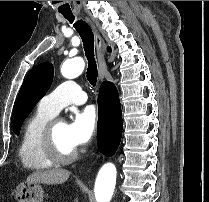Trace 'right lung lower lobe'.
I'll use <instances>...</instances> for the list:
<instances>
[{
  "mask_svg": "<svg viewBox=\"0 0 209 202\" xmlns=\"http://www.w3.org/2000/svg\"><path fill=\"white\" fill-rule=\"evenodd\" d=\"M122 137V112L118 91L111 82H103L98 95V148L105 156L115 154Z\"/></svg>",
  "mask_w": 209,
  "mask_h": 202,
  "instance_id": "98d812e1",
  "label": "right lung lower lobe"
}]
</instances>
